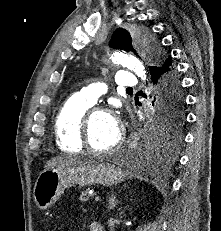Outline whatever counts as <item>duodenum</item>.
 Wrapping results in <instances>:
<instances>
[{
  "label": "duodenum",
  "instance_id": "1",
  "mask_svg": "<svg viewBox=\"0 0 221 231\" xmlns=\"http://www.w3.org/2000/svg\"><path fill=\"white\" fill-rule=\"evenodd\" d=\"M90 231H103V228H102V226H100L96 222H94L90 226Z\"/></svg>",
  "mask_w": 221,
  "mask_h": 231
}]
</instances>
